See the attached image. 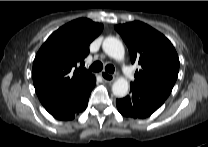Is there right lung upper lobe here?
I'll list each match as a JSON object with an SVG mask.
<instances>
[{"mask_svg":"<svg viewBox=\"0 0 208 147\" xmlns=\"http://www.w3.org/2000/svg\"><path fill=\"white\" fill-rule=\"evenodd\" d=\"M103 25L80 18L52 33L33 63V83L43 106L67 99L89 83L94 75L84 67L89 44Z\"/></svg>","mask_w":208,"mask_h":147,"instance_id":"obj_1","label":"right lung upper lobe"}]
</instances>
